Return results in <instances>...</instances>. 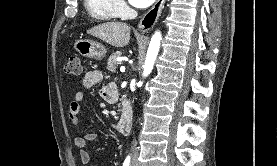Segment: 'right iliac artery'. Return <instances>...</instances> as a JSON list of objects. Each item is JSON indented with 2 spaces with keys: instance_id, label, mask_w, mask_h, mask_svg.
<instances>
[{
  "instance_id": "82829eb1",
  "label": "right iliac artery",
  "mask_w": 277,
  "mask_h": 166,
  "mask_svg": "<svg viewBox=\"0 0 277 166\" xmlns=\"http://www.w3.org/2000/svg\"><path fill=\"white\" fill-rule=\"evenodd\" d=\"M129 165H130V156H128V157L125 159L124 163H123V166H129Z\"/></svg>"
}]
</instances>
